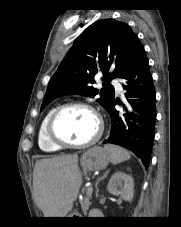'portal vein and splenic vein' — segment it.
<instances>
[{"mask_svg": "<svg viewBox=\"0 0 181 227\" xmlns=\"http://www.w3.org/2000/svg\"><path fill=\"white\" fill-rule=\"evenodd\" d=\"M92 192H93V188L92 187H89L87 189V193L91 196L92 195Z\"/></svg>", "mask_w": 181, "mask_h": 227, "instance_id": "obj_1", "label": "portal vein and splenic vein"}]
</instances>
